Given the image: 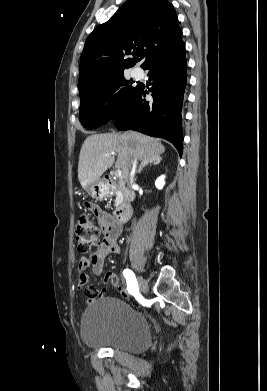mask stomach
<instances>
[{"instance_id": "1", "label": "stomach", "mask_w": 267, "mask_h": 391, "mask_svg": "<svg viewBox=\"0 0 267 391\" xmlns=\"http://www.w3.org/2000/svg\"><path fill=\"white\" fill-rule=\"evenodd\" d=\"M85 190L88 194L97 200L107 197L110 193V186L103 180H98L88 185Z\"/></svg>"}]
</instances>
